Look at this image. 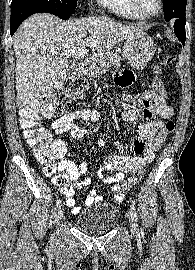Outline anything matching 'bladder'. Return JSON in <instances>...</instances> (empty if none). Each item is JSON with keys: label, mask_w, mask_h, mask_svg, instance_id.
<instances>
[{"label": "bladder", "mask_w": 195, "mask_h": 270, "mask_svg": "<svg viewBox=\"0 0 195 270\" xmlns=\"http://www.w3.org/2000/svg\"><path fill=\"white\" fill-rule=\"evenodd\" d=\"M120 218L119 209L112 204L89 207L74 219V225L91 235L103 234L113 229Z\"/></svg>", "instance_id": "31cf9c89"}]
</instances>
